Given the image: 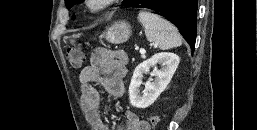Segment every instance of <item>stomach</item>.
Here are the masks:
<instances>
[{
    "label": "stomach",
    "mask_w": 257,
    "mask_h": 130,
    "mask_svg": "<svg viewBox=\"0 0 257 130\" xmlns=\"http://www.w3.org/2000/svg\"><path fill=\"white\" fill-rule=\"evenodd\" d=\"M131 32V25L128 22L121 20L114 22L109 28H107L102 36L110 43L120 44L130 38ZM79 37V34H72L67 38L71 43H75L76 39Z\"/></svg>",
    "instance_id": "1"
}]
</instances>
